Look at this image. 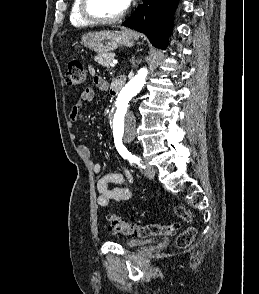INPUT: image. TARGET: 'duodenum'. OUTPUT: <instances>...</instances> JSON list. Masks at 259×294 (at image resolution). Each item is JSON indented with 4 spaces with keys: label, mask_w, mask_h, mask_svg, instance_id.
I'll return each mask as SVG.
<instances>
[{
    "label": "duodenum",
    "mask_w": 259,
    "mask_h": 294,
    "mask_svg": "<svg viewBox=\"0 0 259 294\" xmlns=\"http://www.w3.org/2000/svg\"><path fill=\"white\" fill-rule=\"evenodd\" d=\"M125 83V78L124 77H119L117 78L114 83H113V90L115 93H118L120 91V89L122 88V86Z\"/></svg>",
    "instance_id": "obj_1"
}]
</instances>
